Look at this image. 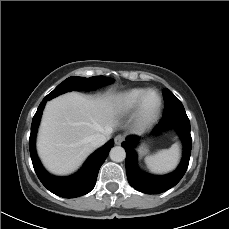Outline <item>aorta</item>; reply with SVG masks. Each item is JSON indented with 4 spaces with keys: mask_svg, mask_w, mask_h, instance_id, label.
Instances as JSON below:
<instances>
[{
    "mask_svg": "<svg viewBox=\"0 0 229 229\" xmlns=\"http://www.w3.org/2000/svg\"><path fill=\"white\" fill-rule=\"evenodd\" d=\"M125 156H126L125 150L121 146H115L110 151V158L114 162L124 161Z\"/></svg>",
    "mask_w": 229,
    "mask_h": 229,
    "instance_id": "aorta-1",
    "label": "aorta"
}]
</instances>
